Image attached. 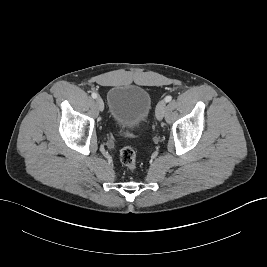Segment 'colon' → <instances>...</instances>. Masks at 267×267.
I'll use <instances>...</instances> for the list:
<instances>
[{
    "label": "colon",
    "instance_id": "5ec220e1",
    "mask_svg": "<svg viewBox=\"0 0 267 267\" xmlns=\"http://www.w3.org/2000/svg\"><path fill=\"white\" fill-rule=\"evenodd\" d=\"M121 163L130 170H135L137 167V160L135 151L130 147H124L120 151Z\"/></svg>",
    "mask_w": 267,
    "mask_h": 267
}]
</instances>
